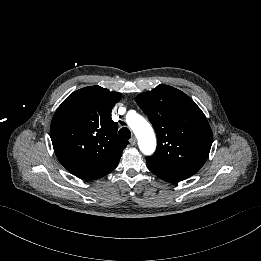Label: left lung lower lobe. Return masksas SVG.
Listing matches in <instances>:
<instances>
[{"mask_svg":"<svg viewBox=\"0 0 261 261\" xmlns=\"http://www.w3.org/2000/svg\"><path fill=\"white\" fill-rule=\"evenodd\" d=\"M146 163L149 170L152 173H154L156 176H158L159 178L167 182H179L193 175L183 171L165 167L163 165L157 164L147 159H146Z\"/></svg>","mask_w":261,"mask_h":261,"instance_id":"1","label":"left lung lower lobe"}]
</instances>
